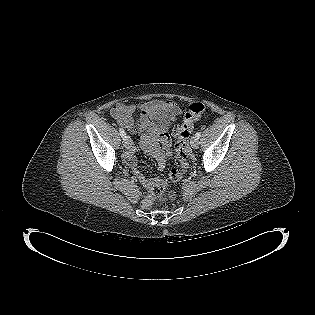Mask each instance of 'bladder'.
Masks as SVG:
<instances>
[{
	"instance_id": "obj_1",
	"label": "bladder",
	"mask_w": 315,
	"mask_h": 315,
	"mask_svg": "<svg viewBox=\"0 0 315 315\" xmlns=\"http://www.w3.org/2000/svg\"><path fill=\"white\" fill-rule=\"evenodd\" d=\"M151 122H152V124L159 125V126H163V125L166 124V120H165L163 114H161V113H158V114L154 115L152 117V121Z\"/></svg>"
}]
</instances>
